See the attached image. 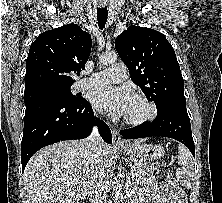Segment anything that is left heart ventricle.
Segmentation results:
<instances>
[{
    "label": "left heart ventricle",
    "instance_id": "obj_1",
    "mask_svg": "<svg viewBox=\"0 0 222 203\" xmlns=\"http://www.w3.org/2000/svg\"><path fill=\"white\" fill-rule=\"evenodd\" d=\"M146 112H147L146 106L142 102L132 98L127 113L125 114V117L139 118L145 115Z\"/></svg>",
    "mask_w": 222,
    "mask_h": 203
}]
</instances>
